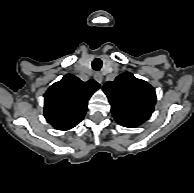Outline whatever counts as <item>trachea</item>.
<instances>
[{
	"instance_id": "obj_1",
	"label": "trachea",
	"mask_w": 194,
	"mask_h": 193,
	"mask_svg": "<svg viewBox=\"0 0 194 193\" xmlns=\"http://www.w3.org/2000/svg\"><path fill=\"white\" fill-rule=\"evenodd\" d=\"M102 67V61L101 59L99 58H95L93 61H92V69L95 70V71H99Z\"/></svg>"
}]
</instances>
